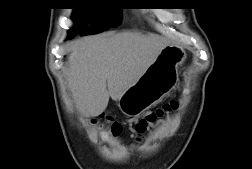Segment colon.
Masks as SVG:
<instances>
[{"label": "colon", "instance_id": "1", "mask_svg": "<svg viewBox=\"0 0 252 169\" xmlns=\"http://www.w3.org/2000/svg\"><path fill=\"white\" fill-rule=\"evenodd\" d=\"M178 106V103L176 101H171L162 108L158 109L157 111H154L150 113L146 118L142 119L135 128L136 134L140 135L144 133L150 124L155 123L160 117H162L164 114L169 113L171 111H174ZM102 126H105L108 131L113 135H118L121 131V127L118 123L113 122L108 117L101 118L99 122Z\"/></svg>", "mask_w": 252, "mask_h": 169}]
</instances>
